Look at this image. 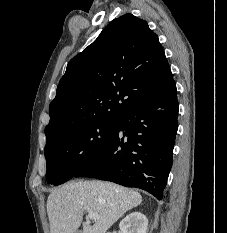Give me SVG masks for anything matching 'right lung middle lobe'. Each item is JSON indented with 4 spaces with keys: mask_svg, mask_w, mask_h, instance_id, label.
Instances as JSON below:
<instances>
[{
    "mask_svg": "<svg viewBox=\"0 0 227 233\" xmlns=\"http://www.w3.org/2000/svg\"><path fill=\"white\" fill-rule=\"evenodd\" d=\"M118 120H97L77 126L46 142V179L62 184L88 164L114 134Z\"/></svg>",
    "mask_w": 227,
    "mask_h": 233,
    "instance_id": "1",
    "label": "right lung middle lobe"
}]
</instances>
